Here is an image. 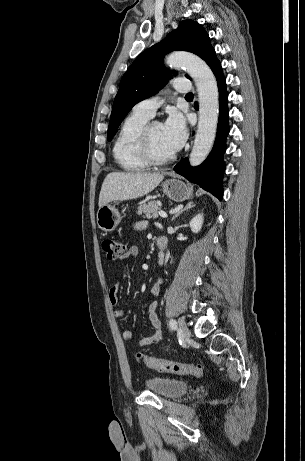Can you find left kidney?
<instances>
[{
	"label": "left kidney",
	"instance_id": "obj_1",
	"mask_svg": "<svg viewBox=\"0 0 305 461\" xmlns=\"http://www.w3.org/2000/svg\"><path fill=\"white\" fill-rule=\"evenodd\" d=\"M202 224H203V215L198 214L190 221L191 231L194 233H198L202 228Z\"/></svg>",
	"mask_w": 305,
	"mask_h": 461
}]
</instances>
